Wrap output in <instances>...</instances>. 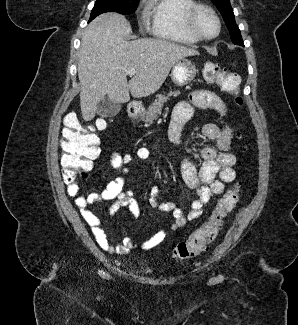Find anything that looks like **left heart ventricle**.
<instances>
[{
	"instance_id": "obj_1",
	"label": "left heart ventricle",
	"mask_w": 298,
	"mask_h": 325,
	"mask_svg": "<svg viewBox=\"0 0 298 325\" xmlns=\"http://www.w3.org/2000/svg\"><path fill=\"white\" fill-rule=\"evenodd\" d=\"M194 25L197 31L204 38H209L215 33V23L206 11H200L197 14L194 20Z\"/></svg>"
}]
</instances>
